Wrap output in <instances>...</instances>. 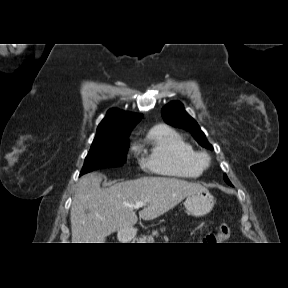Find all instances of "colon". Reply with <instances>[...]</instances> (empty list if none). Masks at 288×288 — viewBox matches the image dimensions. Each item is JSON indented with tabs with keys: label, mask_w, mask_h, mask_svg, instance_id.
I'll list each match as a JSON object with an SVG mask.
<instances>
[{
	"label": "colon",
	"mask_w": 288,
	"mask_h": 288,
	"mask_svg": "<svg viewBox=\"0 0 288 288\" xmlns=\"http://www.w3.org/2000/svg\"><path fill=\"white\" fill-rule=\"evenodd\" d=\"M230 234H231L230 226L227 224H222L220 225L217 233L211 235L207 240L209 242H216V243L223 242L230 236Z\"/></svg>",
	"instance_id": "colon-1"
}]
</instances>
